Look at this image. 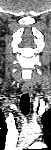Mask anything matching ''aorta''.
I'll return each mask as SVG.
<instances>
[{"instance_id":"762f6f07","label":"aorta","mask_w":51,"mask_h":150,"mask_svg":"<svg viewBox=\"0 0 51 150\" xmlns=\"http://www.w3.org/2000/svg\"><path fill=\"white\" fill-rule=\"evenodd\" d=\"M41 134V128L38 125L27 126L22 129L19 136L18 147L23 149L29 146Z\"/></svg>"}]
</instances>
